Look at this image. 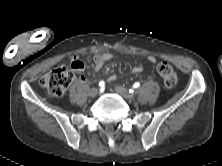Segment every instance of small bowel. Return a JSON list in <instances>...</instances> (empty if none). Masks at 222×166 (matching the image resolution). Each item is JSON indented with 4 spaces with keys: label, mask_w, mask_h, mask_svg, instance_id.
<instances>
[{
    "label": "small bowel",
    "mask_w": 222,
    "mask_h": 166,
    "mask_svg": "<svg viewBox=\"0 0 222 166\" xmlns=\"http://www.w3.org/2000/svg\"><path fill=\"white\" fill-rule=\"evenodd\" d=\"M112 59V55L110 53H97L94 55L93 57V63H94V69L95 71H99L101 70L104 65L109 62ZM150 61H155L154 57H149ZM71 66L74 70L80 72L84 65L82 63V61L80 60V58L78 56H74L72 58V62H71ZM143 71V67L142 66H135L132 68V72L134 74H138L141 73ZM116 79V75H111L109 77L110 81H114ZM82 81H85L86 79L84 77H81Z\"/></svg>",
    "instance_id": "obj_1"
}]
</instances>
